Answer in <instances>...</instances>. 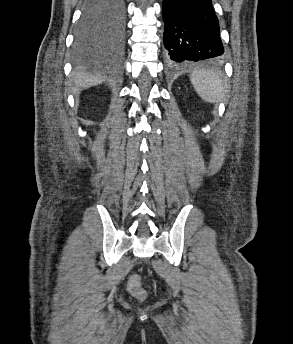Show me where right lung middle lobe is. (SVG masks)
I'll use <instances>...</instances> for the list:
<instances>
[{
	"label": "right lung middle lobe",
	"mask_w": 293,
	"mask_h": 344,
	"mask_svg": "<svg viewBox=\"0 0 293 344\" xmlns=\"http://www.w3.org/2000/svg\"><path fill=\"white\" fill-rule=\"evenodd\" d=\"M123 20V0H88L77 27L76 47L112 44V34L122 28Z\"/></svg>",
	"instance_id": "1"
}]
</instances>
